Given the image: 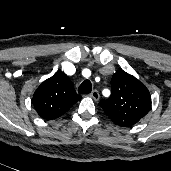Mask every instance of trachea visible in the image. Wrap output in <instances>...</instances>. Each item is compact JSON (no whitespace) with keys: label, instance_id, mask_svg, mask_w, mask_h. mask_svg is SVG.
<instances>
[{"label":"trachea","instance_id":"3493384b","mask_svg":"<svg viewBox=\"0 0 171 171\" xmlns=\"http://www.w3.org/2000/svg\"><path fill=\"white\" fill-rule=\"evenodd\" d=\"M92 91V84L89 80H85L78 88V93H90Z\"/></svg>","mask_w":171,"mask_h":171}]
</instances>
